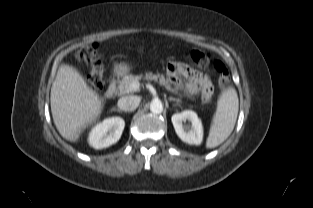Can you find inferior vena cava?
Segmentation results:
<instances>
[{
	"mask_svg": "<svg viewBox=\"0 0 313 208\" xmlns=\"http://www.w3.org/2000/svg\"><path fill=\"white\" fill-rule=\"evenodd\" d=\"M140 103L137 96H124L118 100V107L123 111H134Z\"/></svg>",
	"mask_w": 313,
	"mask_h": 208,
	"instance_id": "obj_1",
	"label": "inferior vena cava"
}]
</instances>
